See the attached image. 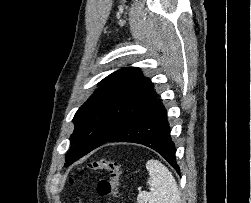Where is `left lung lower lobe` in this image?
I'll use <instances>...</instances> for the list:
<instances>
[{"mask_svg": "<svg viewBox=\"0 0 251 203\" xmlns=\"http://www.w3.org/2000/svg\"><path fill=\"white\" fill-rule=\"evenodd\" d=\"M107 142H131L145 145L162 155L180 174L175 144L171 140L167 112L161 100L155 102Z\"/></svg>", "mask_w": 251, "mask_h": 203, "instance_id": "0a47b994", "label": "left lung lower lobe"}]
</instances>
